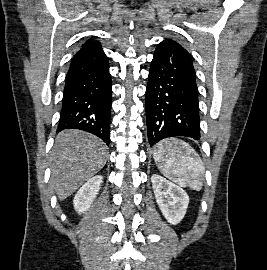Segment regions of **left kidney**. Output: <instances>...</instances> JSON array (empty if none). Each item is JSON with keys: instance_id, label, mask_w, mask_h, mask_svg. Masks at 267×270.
Here are the masks:
<instances>
[{"instance_id": "obj_1", "label": "left kidney", "mask_w": 267, "mask_h": 270, "mask_svg": "<svg viewBox=\"0 0 267 270\" xmlns=\"http://www.w3.org/2000/svg\"><path fill=\"white\" fill-rule=\"evenodd\" d=\"M151 182L156 202L163 216L170 224H178L188 208L187 193L181 187L157 174L151 176Z\"/></svg>"}]
</instances>
